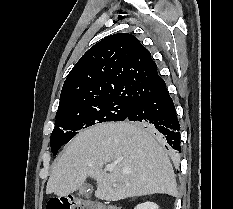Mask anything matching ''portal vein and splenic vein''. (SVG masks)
I'll use <instances>...</instances> for the list:
<instances>
[{
  "label": "portal vein and splenic vein",
  "mask_w": 233,
  "mask_h": 209,
  "mask_svg": "<svg viewBox=\"0 0 233 209\" xmlns=\"http://www.w3.org/2000/svg\"><path fill=\"white\" fill-rule=\"evenodd\" d=\"M113 169H114L113 165H107L106 166V170L109 171V172L113 171Z\"/></svg>",
  "instance_id": "obj_1"
}]
</instances>
